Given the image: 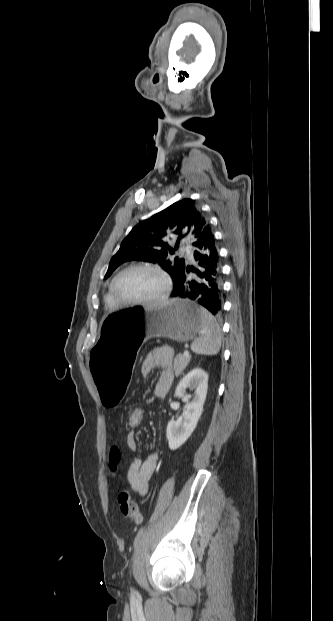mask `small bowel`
Wrapping results in <instances>:
<instances>
[{
  "instance_id": "c3829d8e",
  "label": "small bowel",
  "mask_w": 333,
  "mask_h": 621,
  "mask_svg": "<svg viewBox=\"0 0 333 621\" xmlns=\"http://www.w3.org/2000/svg\"><path fill=\"white\" fill-rule=\"evenodd\" d=\"M172 359L173 353L171 350L154 349L146 355L142 363V374L145 376L149 375L157 367L162 369L154 389V395L157 398L165 396L173 383ZM127 444L131 450H135L136 443L133 432L128 433ZM119 458L118 450L113 448L110 453V468L112 470L116 469ZM156 465L157 454L153 451L147 453L144 457H136L132 461L128 469L127 479L131 488L139 495L143 496L147 493L148 484Z\"/></svg>"
}]
</instances>
